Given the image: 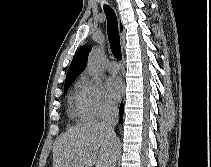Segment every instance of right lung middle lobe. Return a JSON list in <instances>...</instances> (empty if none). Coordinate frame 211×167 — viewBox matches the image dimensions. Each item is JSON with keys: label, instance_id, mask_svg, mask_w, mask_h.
Instances as JSON below:
<instances>
[{"label": "right lung middle lobe", "instance_id": "dd1d6c3e", "mask_svg": "<svg viewBox=\"0 0 211 167\" xmlns=\"http://www.w3.org/2000/svg\"><path fill=\"white\" fill-rule=\"evenodd\" d=\"M72 80L71 81H68V82H65V85H64V94L67 92L68 88L70 87V85L72 84Z\"/></svg>", "mask_w": 211, "mask_h": 167}]
</instances>
